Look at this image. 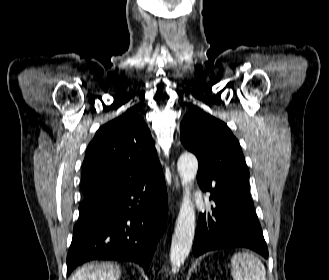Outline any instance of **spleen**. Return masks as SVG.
I'll return each instance as SVG.
<instances>
[{"label": "spleen", "instance_id": "1", "mask_svg": "<svg viewBox=\"0 0 329 280\" xmlns=\"http://www.w3.org/2000/svg\"><path fill=\"white\" fill-rule=\"evenodd\" d=\"M231 273L234 280H266L264 265L256 256L248 252L233 255Z\"/></svg>", "mask_w": 329, "mask_h": 280}]
</instances>
